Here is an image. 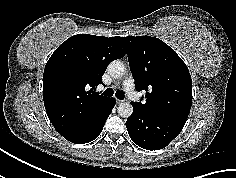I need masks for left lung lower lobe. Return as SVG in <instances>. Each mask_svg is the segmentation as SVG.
Segmentation results:
<instances>
[{
	"instance_id": "obj_1",
	"label": "left lung lower lobe",
	"mask_w": 236,
	"mask_h": 178,
	"mask_svg": "<svg viewBox=\"0 0 236 178\" xmlns=\"http://www.w3.org/2000/svg\"><path fill=\"white\" fill-rule=\"evenodd\" d=\"M133 107L126 127L132 141L143 149L159 150L166 147L185 125L153 115L135 105Z\"/></svg>"
}]
</instances>
